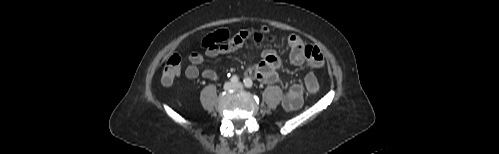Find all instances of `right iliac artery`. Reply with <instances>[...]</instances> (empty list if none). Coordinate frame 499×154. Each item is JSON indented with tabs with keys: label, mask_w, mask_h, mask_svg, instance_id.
Listing matches in <instances>:
<instances>
[{
	"label": "right iliac artery",
	"mask_w": 499,
	"mask_h": 154,
	"mask_svg": "<svg viewBox=\"0 0 499 154\" xmlns=\"http://www.w3.org/2000/svg\"><path fill=\"white\" fill-rule=\"evenodd\" d=\"M238 81H239L238 76L233 75V76L231 77V82H233V83H237Z\"/></svg>",
	"instance_id": "obj_1"
}]
</instances>
